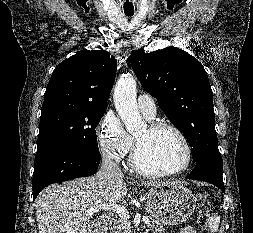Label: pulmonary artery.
Here are the masks:
<instances>
[{
    "mask_svg": "<svg viewBox=\"0 0 253 233\" xmlns=\"http://www.w3.org/2000/svg\"><path fill=\"white\" fill-rule=\"evenodd\" d=\"M137 105L140 112L147 118L153 119L156 115V104L148 94H141L137 98Z\"/></svg>",
    "mask_w": 253,
    "mask_h": 233,
    "instance_id": "1",
    "label": "pulmonary artery"
}]
</instances>
